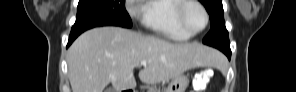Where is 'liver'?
Returning <instances> with one entry per match:
<instances>
[{
  "label": "liver",
  "mask_w": 296,
  "mask_h": 92,
  "mask_svg": "<svg viewBox=\"0 0 296 92\" xmlns=\"http://www.w3.org/2000/svg\"><path fill=\"white\" fill-rule=\"evenodd\" d=\"M147 85L166 83L196 67H216L219 55L199 43H171L120 27H100L81 34L68 50L72 92H103L111 83L117 92L135 89L134 67Z\"/></svg>",
  "instance_id": "1"
}]
</instances>
